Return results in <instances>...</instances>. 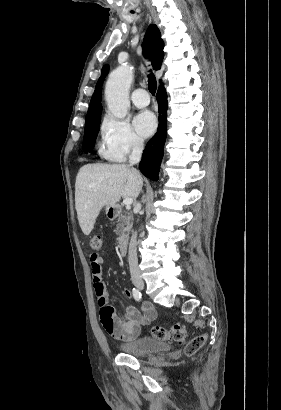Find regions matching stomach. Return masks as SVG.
Masks as SVG:
<instances>
[{
  "mask_svg": "<svg viewBox=\"0 0 281 410\" xmlns=\"http://www.w3.org/2000/svg\"><path fill=\"white\" fill-rule=\"evenodd\" d=\"M105 210L107 214L113 215L115 213L114 207H111V206H107Z\"/></svg>",
  "mask_w": 281,
  "mask_h": 410,
  "instance_id": "obj_1",
  "label": "stomach"
}]
</instances>
